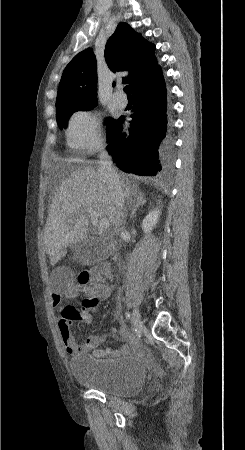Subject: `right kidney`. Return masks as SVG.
Here are the masks:
<instances>
[{
    "mask_svg": "<svg viewBox=\"0 0 245 450\" xmlns=\"http://www.w3.org/2000/svg\"><path fill=\"white\" fill-rule=\"evenodd\" d=\"M160 212L158 210L151 211L143 220L142 229L145 233H149L159 220Z\"/></svg>",
    "mask_w": 245,
    "mask_h": 450,
    "instance_id": "ca27d5eb",
    "label": "right kidney"
}]
</instances>
